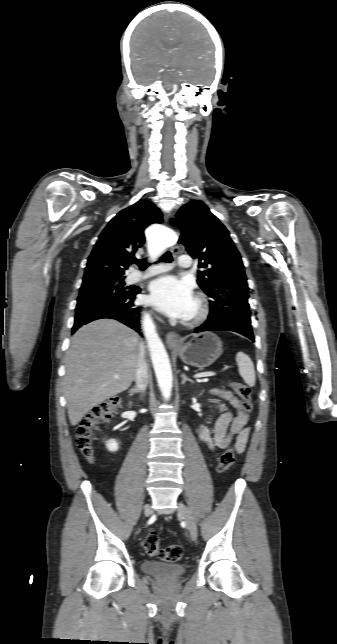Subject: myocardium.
<instances>
[{
    "label": "myocardium",
    "instance_id": "1",
    "mask_svg": "<svg viewBox=\"0 0 337 644\" xmlns=\"http://www.w3.org/2000/svg\"><path fill=\"white\" fill-rule=\"evenodd\" d=\"M194 301L196 304L194 313L184 319V323L188 326H196L203 323L210 313V304L205 294L197 293Z\"/></svg>",
    "mask_w": 337,
    "mask_h": 644
}]
</instances>
